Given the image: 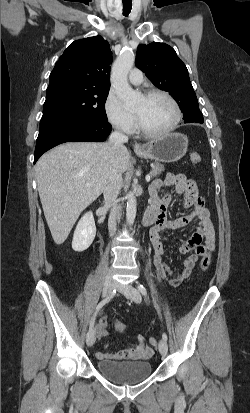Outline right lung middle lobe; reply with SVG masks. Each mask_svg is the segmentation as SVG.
Instances as JSON below:
<instances>
[{
  "instance_id": "dd1d6c3e",
  "label": "right lung middle lobe",
  "mask_w": 250,
  "mask_h": 413,
  "mask_svg": "<svg viewBox=\"0 0 250 413\" xmlns=\"http://www.w3.org/2000/svg\"><path fill=\"white\" fill-rule=\"evenodd\" d=\"M109 90L62 85L46 91L40 130L67 120L108 121L105 102Z\"/></svg>"
}]
</instances>
